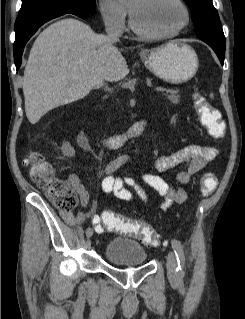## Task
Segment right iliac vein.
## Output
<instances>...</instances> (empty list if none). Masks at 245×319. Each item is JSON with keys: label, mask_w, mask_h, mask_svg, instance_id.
Here are the masks:
<instances>
[{"label": "right iliac vein", "mask_w": 245, "mask_h": 319, "mask_svg": "<svg viewBox=\"0 0 245 319\" xmlns=\"http://www.w3.org/2000/svg\"><path fill=\"white\" fill-rule=\"evenodd\" d=\"M86 236H87V238H88V243H89V242H90V241H89V238H90L92 235H86Z\"/></svg>", "instance_id": "63e3f726"}]
</instances>
